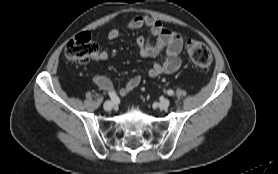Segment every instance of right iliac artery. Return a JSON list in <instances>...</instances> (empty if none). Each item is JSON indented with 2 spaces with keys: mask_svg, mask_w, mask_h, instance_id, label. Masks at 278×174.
Listing matches in <instances>:
<instances>
[{
  "mask_svg": "<svg viewBox=\"0 0 278 174\" xmlns=\"http://www.w3.org/2000/svg\"><path fill=\"white\" fill-rule=\"evenodd\" d=\"M108 94H109V96H110V98H111V100L114 104L119 103L120 100L115 93H108Z\"/></svg>",
  "mask_w": 278,
  "mask_h": 174,
  "instance_id": "1",
  "label": "right iliac artery"
}]
</instances>
